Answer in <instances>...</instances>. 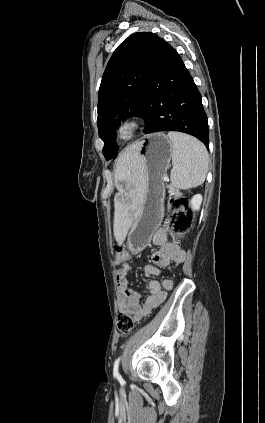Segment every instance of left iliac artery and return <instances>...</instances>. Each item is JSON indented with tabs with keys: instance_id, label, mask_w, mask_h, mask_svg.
I'll return each mask as SVG.
<instances>
[{
	"instance_id": "1",
	"label": "left iliac artery",
	"mask_w": 265,
	"mask_h": 423,
	"mask_svg": "<svg viewBox=\"0 0 265 423\" xmlns=\"http://www.w3.org/2000/svg\"><path fill=\"white\" fill-rule=\"evenodd\" d=\"M119 362H120V357L115 360L114 367H113V375H114V377H117V378H121V376L118 372Z\"/></svg>"
}]
</instances>
